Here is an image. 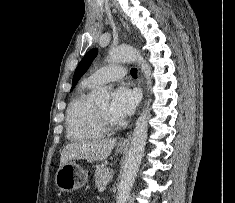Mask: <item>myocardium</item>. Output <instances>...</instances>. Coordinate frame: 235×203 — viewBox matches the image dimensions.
<instances>
[{"label": "myocardium", "instance_id": "1", "mask_svg": "<svg viewBox=\"0 0 235 203\" xmlns=\"http://www.w3.org/2000/svg\"><path fill=\"white\" fill-rule=\"evenodd\" d=\"M96 113L100 125L104 129V131H112L117 127V124L111 119L108 115H106L103 111H101L98 106H96Z\"/></svg>", "mask_w": 235, "mask_h": 203}]
</instances>
